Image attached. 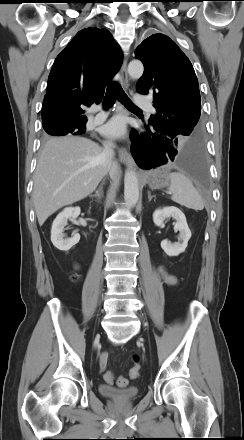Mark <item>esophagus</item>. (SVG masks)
I'll return each instance as SVG.
<instances>
[{
  "instance_id": "esophagus-1",
  "label": "esophagus",
  "mask_w": 244,
  "mask_h": 440,
  "mask_svg": "<svg viewBox=\"0 0 244 440\" xmlns=\"http://www.w3.org/2000/svg\"><path fill=\"white\" fill-rule=\"evenodd\" d=\"M128 82H129V77L127 73V57H126L120 69V83L122 86L125 87L128 85ZM118 158L123 163H127L131 161L130 155L125 148L118 149Z\"/></svg>"
}]
</instances>
